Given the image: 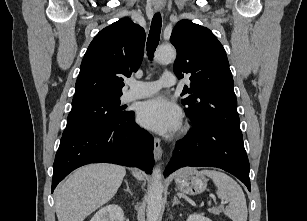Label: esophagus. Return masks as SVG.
<instances>
[{
	"mask_svg": "<svg viewBox=\"0 0 307 221\" xmlns=\"http://www.w3.org/2000/svg\"><path fill=\"white\" fill-rule=\"evenodd\" d=\"M160 7H156V10H160ZM154 158L156 161L161 160L162 155H163V150L161 147V142L159 138H154Z\"/></svg>",
	"mask_w": 307,
	"mask_h": 221,
	"instance_id": "obj_1",
	"label": "esophagus"
}]
</instances>
